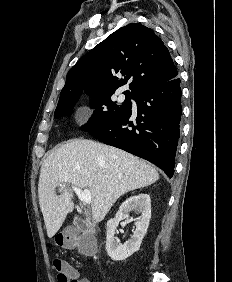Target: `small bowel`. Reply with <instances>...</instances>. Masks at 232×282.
I'll return each instance as SVG.
<instances>
[{"mask_svg":"<svg viewBox=\"0 0 232 282\" xmlns=\"http://www.w3.org/2000/svg\"><path fill=\"white\" fill-rule=\"evenodd\" d=\"M73 276L75 278V282H91L88 278L80 277L79 272L73 268Z\"/></svg>","mask_w":232,"mask_h":282,"instance_id":"c3829d8e","label":"small bowel"}]
</instances>
